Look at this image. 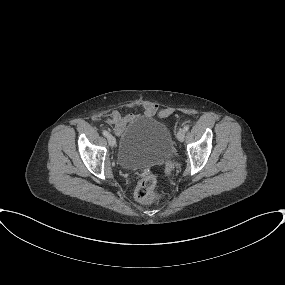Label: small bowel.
<instances>
[{
  "label": "small bowel",
  "mask_w": 285,
  "mask_h": 285,
  "mask_svg": "<svg viewBox=\"0 0 285 285\" xmlns=\"http://www.w3.org/2000/svg\"><path fill=\"white\" fill-rule=\"evenodd\" d=\"M136 110H141L146 115L154 116L157 114L158 107L151 102H141L134 106ZM137 115L135 113H128L122 115L119 111H112L108 117L107 122L113 126L114 132L120 135L124 132L127 124L132 121Z\"/></svg>",
  "instance_id": "obj_1"
}]
</instances>
